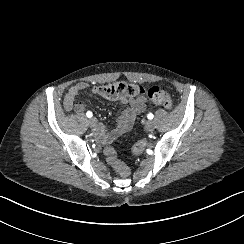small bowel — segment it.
<instances>
[{"label": "small bowel", "mask_w": 244, "mask_h": 244, "mask_svg": "<svg viewBox=\"0 0 244 244\" xmlns=\"http://www.w3.org/2000/svg\"><path fill=\"white\" fill-rule=\"evenodd\" d=\"M87 88L85 82H78L70 87L64 97V108L67 111H75L78 114L86 110L84 102L76 101V97ZM119 102L124 106V110L118 118V125L113 130L105 133L102 125L98 126L100 136H104L106 140L112 141L129 131L134 124L136 117L146 109L147 101L140 97H122Z\"/></svg>", "instance_id": "small-bowel-1"}]
</instances>
